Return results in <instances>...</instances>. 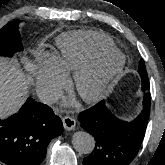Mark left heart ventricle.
Here are the masks:
<instances>
[{
	"instance_id": "1",
	"label": "left heart ventricle",
	"mask_w": 165,
	"mask_h": 165,
	"mask_svg": "<svg viewBox=\"0 0 165 165\" xmlns=\"http://www.w3.org/2000/svg\"><path fill=\"white\" fill-rule=\"evenodd\" d=\"M113 63H114V62H113L112 60H106V61L103 63V65H102V67L100 68V70H99L96 74L90 76V77L85 81V83H84V85H83V90L86 91V92H87V91H90V90L94 87V85H95V83H96V80H97L99 74H101V73L105 72L106 70H108V69L113 65Z\"/></svg>"
}]
</instances>
